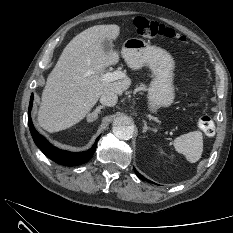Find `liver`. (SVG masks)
Returning a JSON list of instances; mask_svg holds the SVG:
<instances>
[{
    "instance_id": "obj_1",
    "label": "liver",
    "mask_w": 233,
    "mask_h": 233,
    "mask_svg": "<svg viewBox=\"0 0 233 233\" xmlns=\"http://www.w3.org/2000/svg\"><path fill=\"white\" fill-rule=\"evenodd\" d=\"M119 34L118 25H95L67 44L42 93L38 122L44 130L67 129L81 121L103 93L122 95L128 89V77L115 82L101 81L105 69L117 64L120 58L116 50L105 52L103 42L117 40Z\"/></svg>"
}]
</instances>
